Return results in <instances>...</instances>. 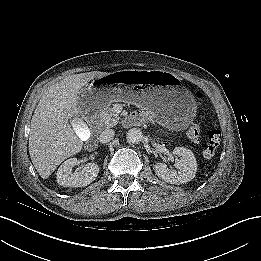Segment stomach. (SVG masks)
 Segmentation results:
<instances>
[{"label":"stomach","instance_id":"1","mask_svg":"<svg viewBox=\"0 0 261 261\" xmlns=\"http://www.w3.org/2000/svg\"><path fill=\"white\" fill-rule=\"evenodd\" d=\"M81 108L100 112L113 101L132 102L155 111L158 121L172 129H186L196 106L193 96L174 74L161 70H122L95 79L81 90Z\"/></svg>","mask_w":261,"mask_h":261}]
</instances>
